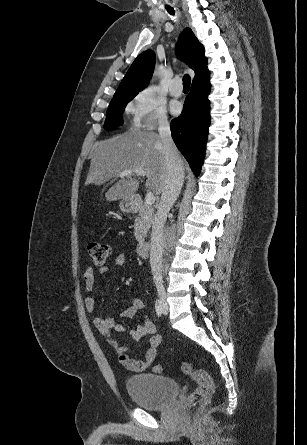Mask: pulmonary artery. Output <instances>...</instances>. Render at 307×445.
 <instances>
[{"label": "pulmonary artery", "instance_id": "obj_1", "mask_svg": "<svg viewBox=\"0 0 307 445\" xmlns=\"http://www.w3.org/2000/svg\"><path fill=\"white\" fill-rule=\"evenodd\" d=\"M180 79L179 75H175L174 81H170L169 83V88L174 96H180L182 94L184 83L180 81Z\"/></svg>", "mask_w": 307, "mask_h": 445}]
</instances>
